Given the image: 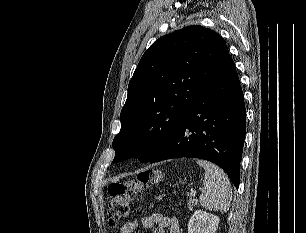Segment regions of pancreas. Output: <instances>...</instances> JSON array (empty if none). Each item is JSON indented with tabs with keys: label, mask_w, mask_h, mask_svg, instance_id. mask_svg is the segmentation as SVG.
Masks as SVG:
<instances>
[{
	"label": "pancreas",
	"mask_w": 306,
	"mask_h": 233,
	"mask_svg": "<svg viewBox=\"0 0 306 233\" xmlns=\"http://www.w3.org/2000/svg\"><path fill=\"white\" fill-rule=\"evenodd\" d=\"M197 203H198V200L197 199H189L188 200V202H187V206H188V209L189 210H193V207L195 206V205H197Z\"/></svg>",
	"instance_id": "cf45deb5"
}]
</instances>
